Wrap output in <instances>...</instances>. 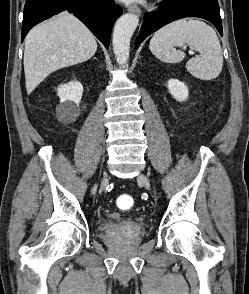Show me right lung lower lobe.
<instances>
[{
    "label": "right lung lower lobe",
    "instance_id": "98d812e1",
    "mask_svg": "<svg viewBox=\"0 0 249 294\" xmlns=\"http://www.w3.org/2000/svg\"><path fill=\"white\" fill-rule=\"evenodd\" d=\"M62 10L72 12L108 49L112 25L122 14L113 0H26L22 41L33 26Z\"/></svg>",
    "mask_w": 249,
    "mask_h": 294
}]
</instances>
